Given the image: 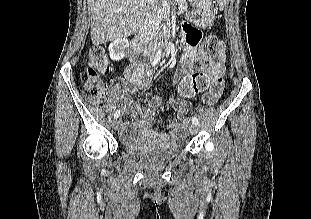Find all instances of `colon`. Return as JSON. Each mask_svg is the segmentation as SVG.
<instances>
[{"label":"colon","mask_w":311,"mask_h":219,"mask_svg":"<svg viewBox=\"0 0 311 219\" xmlns=\"http://www.w3.org/2000/svg\"><path fill=\"white\" fill-rule=\"evenodd\" d=\"M192 41L197 42L200 33L197 29L186 26ZM200 57L196 63L198 72L187 78L179 88L182 95H192L204 90L209 83L208 78L202 73L205 68L223 71L222 60L224 56V44L216 36H209L200 47ZM85 72L83 74L82 92L86 100L100 103L105 99L108 91L107 84L102 80L103 76L112 72V66L101 47H92L84 60Z\"/></svg>","instance_id":"5ec220e1"}]
</instances>
